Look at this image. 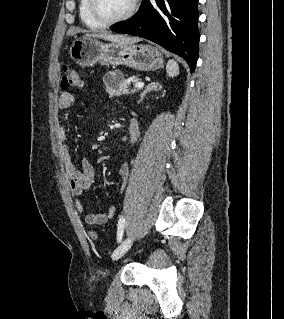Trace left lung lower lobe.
I'll return each mask as SVG.
<instances>
[{
  "label": "left lung lower lobe",
  "mask_w": 284,
  "mask_h": 319,
  "mask_svg": "<svg viewBox=\"0 0 284 319\" xmlns=\"http://www.w3.org/2000/svg\"><path fill=\"white\" fill-rule=\"evenodd\" d=\"M198 0H144L130 19L112 31L151 40L184 58L191 72L199 54Z\"/></svg>",
  "instance_id": "1"
}]
</instances>
